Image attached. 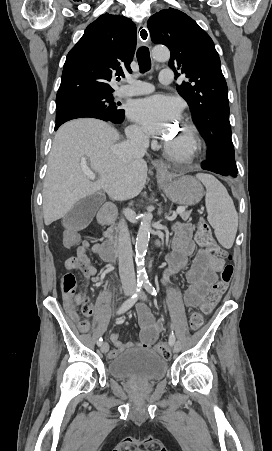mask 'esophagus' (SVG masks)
I'll list each match as a JSON object with an SVG mask.
<instances>
[{
  "instance_id": "34e87169",
  "label": "esophagus",
  "mask_w": 272,
  "mask_h": 451,
  "mask_svg": "<svg viewBox=\"0 0 272 451\" xmlns=\"http://www.w3.org/2000/svg\"><path fill=\"white\" fill-rule=\"evenodd\" d=\"M138 36H139V39L142 42H148L149 41L150 36H149V33H148L147 29L144 27V25H139V27H138ZM154 164L157 167V171L160 172V174L163 177H166V175L168 173V170H169L168 165L162 160H154Z\"/></svg>"
}]
</instances>
